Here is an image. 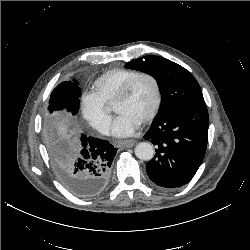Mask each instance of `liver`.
Returning <instances> with one entry per match:
<instances>
[{"label": "liver", "mask_w": 250, "mask_h": 250, "mask_svg": "<svg viewBox=\"0 0 250 250\" xmlns=\"http://www.w3.org/2000/svg\"><path fill=\"white\" fill-rule=\"evenodd\" d=\"M57 129H58V133L61 135V137L63 139H68L69 138V134H68V125L60 122L57 124Z\"/></svg>", "instance_id": "1"}]
</instances>
